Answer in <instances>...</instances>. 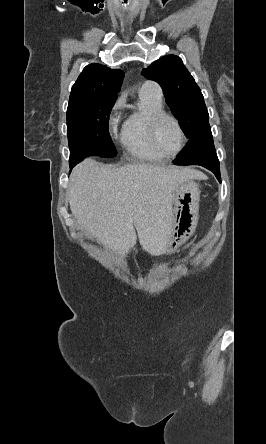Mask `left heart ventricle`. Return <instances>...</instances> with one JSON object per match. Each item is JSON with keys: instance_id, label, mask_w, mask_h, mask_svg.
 Returning <instances> with one entry per match:
<instances>
[{"instance_id": "obj_1", "label": "left heart ventricle", "mask_w": 266, "mask_h": 444, "mask_svg": "<svg viewBox=\"0 0 266 444\" xmlns=\"http://www.w3.org/2000/svg\"><path fill=\"white\" fill-rule=\"evenodd\" d=\"M156 137L157 143L164 153H174L180 146L181 138L178 128L170 119H163L159 123Z\"/></svg>"}]
</instances>
